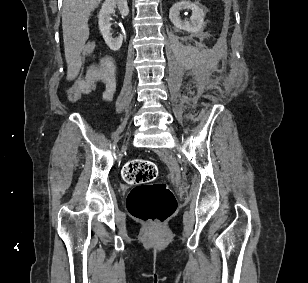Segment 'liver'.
Wrapping results in <instances>:
<instances>
[{"label": "liver", "instance_id": "6515ba94", "mask_svg": "<svg viewBox=\"0 0 308 283\" xmlns=\"http://www.w3.org/2000/svg\"><path fill=\"white\" fill-rule=\"evenodd\" d=\"M102 0H63L62 29L65 58L69 66L89 38L88 20Z\"/></svg>", "mask_w": 308, "mask_h": 283}]
</instances>
